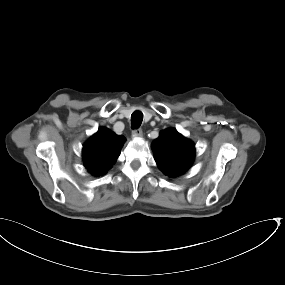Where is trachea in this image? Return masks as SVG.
Segmentation results:
<instances>
[{
  "label": "trachea",
  "instance_id": "obj_1",
  "mask_svg": "<svg viewBox=\"0 0 285 285\" xmlns=\"http://www.w3.org/2000/svg\"><path fill=\"white\" fill-rule=\"evenodd\" d=\"M143 120V114L141 111H135L131 115V125L133 128H138Z\"/></svg>",
  "mask_w": 285,
  "mask_h": 285
}]
</instances>
